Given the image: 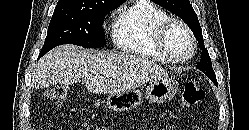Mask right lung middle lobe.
Returning a JSON list of instances; mask_svg holds the SVG:
<instances>
[{"instance_id":"right-lung-middle-lobe-1","label":"right lung middle lobe","mask_w":249,"mask_h":130,"mask_svg":"<svg viewBox=\"0 0 249 130\" xmlns=\"http://www.w3.org/2000/svg\"><path fill=\"white\" fill-rule=\"evenodd\" d=\"M119 5L98 10L56 6L39 57L62 44H74L85 48L103 47L106 44L102 28L104 17Z\"/></svg>"}]
</instances>
